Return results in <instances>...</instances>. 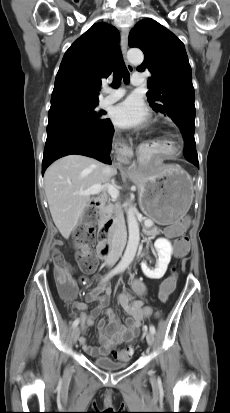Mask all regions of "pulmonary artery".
Segmentation results:
<instances>
[{
    "mask_svg": "<svg viewBox=\"0 0 230 413\" xmlns=\"http://www.w3.org/2000/svg\"><path fill=\"white\" fill-rule=\"evenodd\" d=\"M131 83L135 86L142 85L144 78L141 73H134L131 77ZM104 96L100 100L102 106H106L118 101L125 94V90L122 88L112 89L109 87L104 88Z\"/></svg>",
    "mask_w": 230,
    "mask_h": 413,
    "instance_id": "obj_1",
    "label": "pulmonary artery"
}]
</instances>
